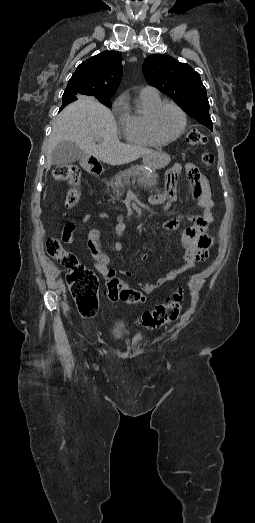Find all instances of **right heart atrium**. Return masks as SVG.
Here are the masks:
<instances>
[{
	"mask_svg": "<svg viewBox=\"0 0 255 523\" xmlns=\"http://www.w3.org/2000/svg\"><path fill=\"white\" fill-rule=\"evenodd\" d=\"M124 100V95H120L114 103V108H118Z\"/></svg>",
	"mask_w": 255,
	"mask_h": 523,
	"instance_id": "obj_1",
	"label": "right heart atrium"
}]
</instances>
